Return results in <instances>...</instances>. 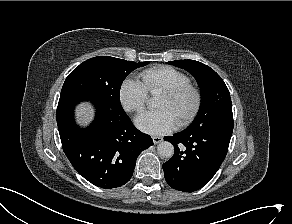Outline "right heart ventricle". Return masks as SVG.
<instances>
[{"label": "right heart ventricle", "instance_id": "e07e8e85", "mask_svg": "<svg viewBox=\"0 0 292 224\" xmlns=\"http://www.w3.org/2000/svg\"><path fill=\"white\" fill-rule=\"evenodd\" d=\"M141 83L148 93L156 94L162 91L187 84L189 77L182 71L167 65H159L140 73Z\"/></svg>", "mask_w": 292, "mask_h": 224}]
</instances>
